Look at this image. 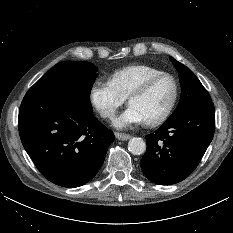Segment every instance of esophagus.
<instances>
[{"label": "esophagus", "mask_w": 233, "mask_h": 233, "mask_svg": "<svg viewBox=\"0 0 233 233\" xmlns=\"http://www.w3.org/2000/svg\"><path fill=\"white\" fill-rule=\"evenodd\" d=\"M115 137H116L117 139L123 140V141L128 140V139L131 138L130 135L125 134V133H119V132H115Z\"/></svg>", "instance_id": "34e87169"}]
</instances>
